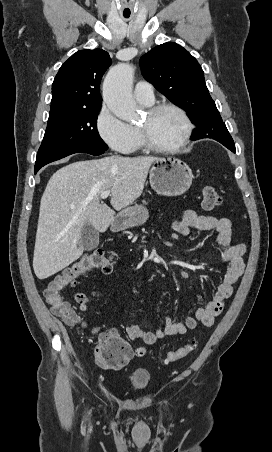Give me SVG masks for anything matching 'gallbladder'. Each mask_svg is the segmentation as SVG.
I'll return each instance as SVG.
<instances>
[{
	"instance_id": "1",
	"label": "gallbladder",
	"mask_w": 272,
	"mask_h": 452,
	"mask_svg": "<svg viewBox=\"0 0 272 452\" xmlns=\"http://www.w3.org/2000/svg\"><path fill=\"white\" fill-rule=\"evenodd\" d=\"M80 240L84 250L92 251L99 245V233L90 223H86L82 227Z\"/></svg>"
}]
</instances>
